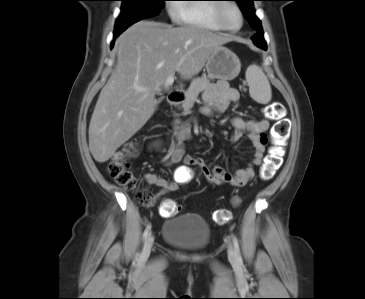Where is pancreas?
<instances>
[{"label":"pancreas","mask_w":365,"mask_h":299,"mask_svg":"<svg viewBox=\"0 0 365 299\" xmlns=\"http://www.w3.org/2000/svg\"><path fill=\"white\" fill-rule=\"evenodd\" d=\"M209 85L210 80L206 76L198 77L192 81L190 87L186 92L185 100L182 104L184 111H189L193 107L198 95L202 91L207 89Z\"/></svg>","instance_id":"pancreas-1"}]
</instances>
